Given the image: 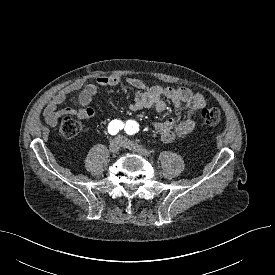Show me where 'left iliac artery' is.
Listing matches in <instances>:
<instances>
[{"mask_svg":"<svg viewBox=\"0 0 275 275\" xmlns=\"http://www.w3.org/2000/svg\"><path fill=\"white\" fill-rule=\"evenodd\" d=\"M125 131L129 135H133L138 131V125L135 121L128 120L125 124Z\"/></svg>","mask_w":275,"mask_h":275,"instance_id":"obj_1","label":"left iliac artery"}]
</instances>
